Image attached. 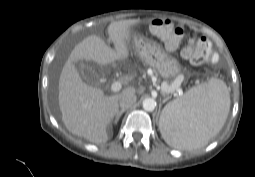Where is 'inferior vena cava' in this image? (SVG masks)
<instances>
[{
  "instance_id": "1",
  "label": "inferior vena cava",
  "mask_w": 255,
  "mask_h": 177,
  "mask_svg": "<svg viewBox=\"0 0 255 177\" xmlns=\"http://www.w3.org/2000/svg\"><path fill=\"white\" fill-rule=\"evenodd\" d=\"M136 102V95L133 93L125 94L121 97L119 104L122 109H128Z\"/></svg>"
}]
</instances>
